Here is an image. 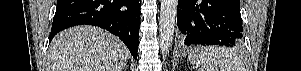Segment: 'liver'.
Returning a JSON list of instances; mask_svg holds the SVG:
<instances>
[{
  "mask_svg": "<svg viewBox=\"0 0 301 71\" xmlns=\"http://www.w3.org/2000/svg\"><path fill=\"white\" fill-rule=\"evenodd\" d=\"M129 58L117 36L94 26H76L51 41L47 71H123Z\"/></svg>",
  "mask_w": 301,
  "mask_h": 71,
  "instance_id": "obj_1",
  "label": "liver"
}]
</instances>
